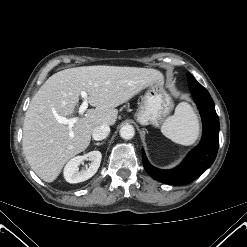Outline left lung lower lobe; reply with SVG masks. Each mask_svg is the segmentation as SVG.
Listing matches in <instances>:
<instances>
[{"mask_svg":"<svg viewBox=\"0 0 247 247\" xmlns=\"http://www.w3.org/2000/svg\"><path fill=\"white\" fill-rule=\"evenodd\" d=\"M188 82L203 121L201 142L178 167L171 170L153 167L142 152L146 171L154 179L171 185L188 184L203 174L214 162L219 146V119L214 102L208 91L193 76L188 77Z\"/></svg>","mask_w":247,"mask_h":247,"instance_id":"left-lung-lower-lobe-1","label":"left lung lower lobe"}]
</instances>
